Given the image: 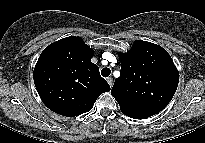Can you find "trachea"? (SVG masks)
<instances>
[{"label": "trachea", "instance_id": "obj_1", "mask_svg": "<svg viewBox=\"0 0 205 143\" xmlns=\"http://www.w3.org/2000/svg\"><path fill=\"white\" fill-rule=\"evenodd\" d=\"M110 73H111V70H110L109 68H103V69L101 70V75H102L103 77H108V76L110 75Z\"/></svg>", "mask_w": 205, "mask_h": 143}]
</instances>
